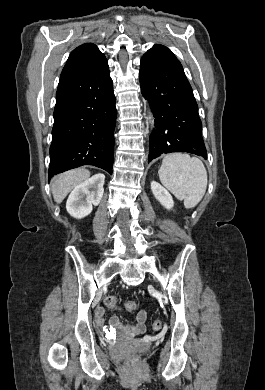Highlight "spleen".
Listing matches in <instances>:
<instances>
[{"label":"spleen","mask_w":265,"mask_h":390,"mask_svg":"<svg viewBox=\"0 0 265 390\" xmlns=\"http://www.w3.org/2000/svg\"><path fill=\"white\" fill-rule=\"evenodd\" d=\"M161 183L187 209L195 207L207 188V171L202 161L188 154L173 153L164 157L158 171Z\"/></svg>","instance_id":"3e777b00"}]
</instances>
